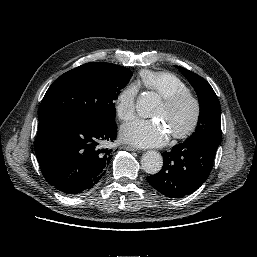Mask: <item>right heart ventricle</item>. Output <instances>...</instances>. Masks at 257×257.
Listing matches in <instances>:
<instances>
[{"label": "right heart ventricle", "instance_id": "e07e8e85", "mask_svg": "<svg viewBox=\"0 0 257 257\" xmlns=\"http://www.w3.org/2000/svg\"><path fill=\"white\" fill-rule=\"evenodd\" d=\"M138 81L162 98L188 91L186 83L177 75L168 71L154 72L145 70L139 74Z\"/></svg>", "mask_w": 257, "mask_h": 257}]
</instances>
